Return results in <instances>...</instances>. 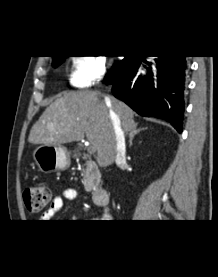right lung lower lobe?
<instances>
[{
	"label": "right lung lower lobe",
	"instance_id": "1",
	"mask_svg": "<svg viewBox=\"0 0 218 277\" xmlns=\"http://www.w3.org/2000/svg\"><path fill=\"white\" fill-rule=\"evenodd\" d=\"M187 70L186 56H154L151 61L132 57L112 81V93L138 114L165 119L181 132Z\"/></svg>",
	"mask_w": 218,
	"mask_h": 277
}]
</instances>
